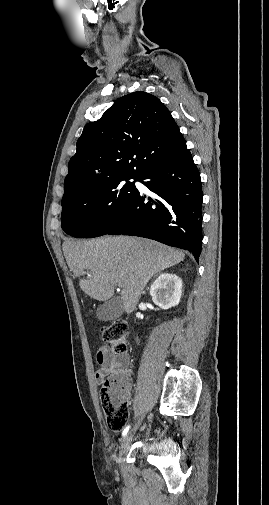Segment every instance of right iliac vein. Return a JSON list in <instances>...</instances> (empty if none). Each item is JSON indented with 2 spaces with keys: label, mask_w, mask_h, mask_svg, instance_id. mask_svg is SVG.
Returning a JSON list of instances; mask_svg holds the SVG:
<instances>
[{
  "label": "right iliac vein",
  "mask_w": 269,
  "mask_h": 505,
  "mask_svg": "<svg viewBox=\"0 0 269 505\" xmlns=\"http://www.w3.org/2000/svg\"><path fill=\"white\" fill-rule=\"evenodd\" d=\"M144 416L141 417V419L139 420L138 424L134 427V429H132L128 434H126L124 436V438L122 439V442H121V447H120V452L123 453L129 446L130 442L132 441L133 439V436H134V433L136 431V429L138 428V426H140L142 420H143Z\"/></svg>",
  "instance_id": "obj_1"
}]
</instances>
